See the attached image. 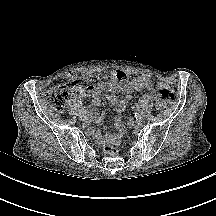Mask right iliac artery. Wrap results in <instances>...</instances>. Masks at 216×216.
Listing matches in <instances>:
<instances>
[{
  "instance_id": "obj_1",
  "label": "right iliac artery",
  "mask_w": 216,
  "mask_h": 216,
  "mask_svg": "<svg viewBox=\"0 0 216 216\" xmlns=\"http://www.w3.org/2000/svg\"><path fill=\"white\" fill-rule=\"evenodd\" d=\"M81 113H82V114H86V113H87V110H86V109H82V110H81Z\"/></svg>"
}]
</instances>
